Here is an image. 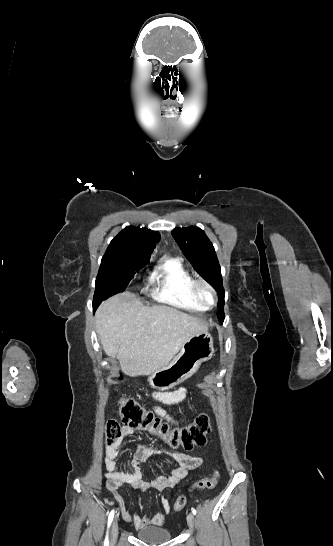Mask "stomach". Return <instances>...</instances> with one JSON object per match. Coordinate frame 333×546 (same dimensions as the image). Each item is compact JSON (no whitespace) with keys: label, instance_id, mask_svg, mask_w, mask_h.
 I'll list each match as a JSON object with an SVG mask.
<instances>
[{"label":"stomach","instance_id":"stomach-1","mask_svg":"<svg viewBox=\"0 0 333 546\" xmlns=\"http://www.w3.org/2000/svg\"><path fill=\"white\" fill-rule=\"evenodd\" d=\"M213 353L211 334L206 331L196 334L168 365L152 372L148 380L154 388L167 391L192 376L203 362L212 358Z\"/></svg>","mask_w":333,"mask_h":546}]
</instances>
